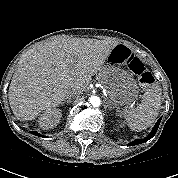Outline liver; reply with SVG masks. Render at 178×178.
<instances>
[{
  "label": "liver",
  "mask_w": 178,
  "mask_h": 178,
  "mask_svg": "<svg viewBox=\"0 0 178 178\" xmlns=\"http://www.w3.org/2000/svg\"><path fill=\"white\" fill-rule=\"evenodd\" d=\"M116 41L54 39L37 48L16 69L9 87V103L20 121L37 118L67 99L73 89L85 91Z\"/></svg>",
  "instance_id": "1"
}]
</instances>
